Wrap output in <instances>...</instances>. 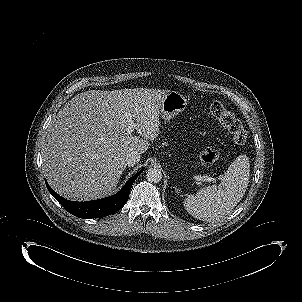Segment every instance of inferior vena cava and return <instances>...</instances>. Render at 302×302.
I'll return each mask as SVG.
<instances>
[{
	"label": "inferior vena cava",
	"mask_w": 302,
	"mask_h": 302,
	"mask_svg": "<svg viewBox=\"0 0 302 302\" xmlns=\"http://www.w3.org/2000/svg\"><path fill=\"white\" fill-rule=\"evenodd\" d=\"M125 164L127 166H134L135 164H137L140 161V154L138 152H130L126 155L125 158Z\"/></svg>",
	"instance_id": "inferior-vena-cava-1"
}]
</instances>
